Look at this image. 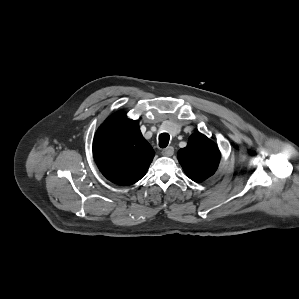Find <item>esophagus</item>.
<instances>
[{"instance_id":"1","label":"esophagus","mask_w":299,"mask_h":299,"mask_svg":"<svg viewBox=\"0 0 299 299\" xmlns=\"http://www.w3.org/2000/svg\"><path fill=\"white\" fill-rule=\"evenodd\" d=\"M161 153L163 156L170 157L174 154V148L172 146L166 147Z\"/></svg>"}]
</instances>
